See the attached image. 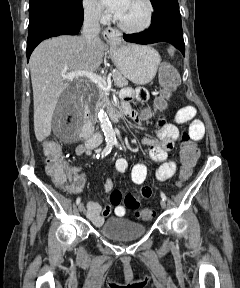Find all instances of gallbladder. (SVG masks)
I'll return each instance as SVG.
<instances>
[{
  "instance_id": "1",
  "label": "gallbladder",
  "mask_w": 240,
  "mask_h": 288,
  "mask_svg": "<svg viewBox=\"0 0 240 288\" xmlns=\"http://www.w3.org/2000/svg\"><path fill=\"white\" fill-rule=\"evenodd\" d=\"M80 111L81 104L77 101L71 87H69L62 93L57 102L52 122H56L59 119H65L69 114L76 115Z\"/></svg>"
}]
</instances>
